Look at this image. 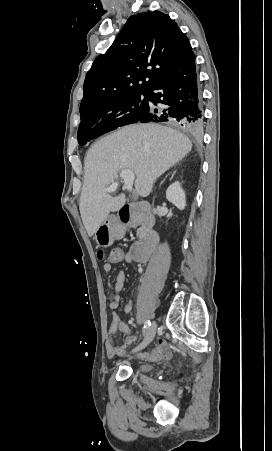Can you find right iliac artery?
I'll return each instance as SVG.
<instances>
[{
  "label": "right iliac artery",
  "mask_w": 272,
  "mask_h": 451,
  "mask_svg": "<svg viewBox=\"0 0 272 451\" xmlns=\"http://www.w3.org/2000/svg\"><path fill=\"white\" fill-rule=\"evenodd\" d=\"M150 326H151L150 320H146L145 323H144V327H143L144 329L143 330L145 331V330L149 329Z\"/></svg>",
  "instance_id": "82829eb1"
}]
</instances>
